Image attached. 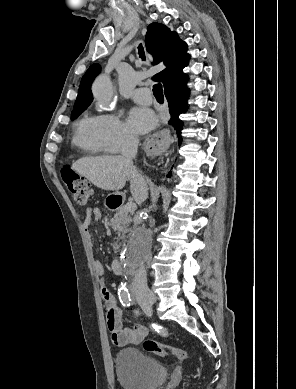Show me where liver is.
<instances>
[{"label":"liver","mask_w":296,"mask_h":389,"mask_svg":"<svg viewBox=\"0 0 296 389\" xmlns=\"http://www.w3.org/2000/svg\"><path fill=\"white\" fill-rule=\"evenodd\" d=\"M72 169L94 186L107 191H119L129 180L130 192L136 202L147 197L144 178L139 173L132 174V164L124 156L83 157L72 164Z\"/></svg>","instance_id":"liver-1"}]
</instances>
